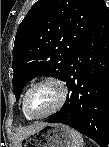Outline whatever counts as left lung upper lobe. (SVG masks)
<instances>
[{"label":"left lung upper lobe","instance_id":"left-lung-upper-lobe-1","mask_svg":"<svg viewBox=\"0 0 109 147\" xmlns=\"http://www.w3.org/2000/svg\"><path fill=\"white\" fill-rule=\"evenodd\" d=\"M107 9L103 0H38L19 25L13 48V92L40 75L64 80L76 48Z\"/></svg>","mask_w":109,"mask_h":147}]
</instances>
